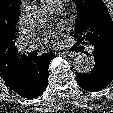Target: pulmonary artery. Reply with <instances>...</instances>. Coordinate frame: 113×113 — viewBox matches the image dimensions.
Wrapping results in <instances>:
<instances>
[{
	"label": "pulmonary artery",
	"instance_id": "e3ab8cb5",
	"mask_svg": "<svg viewBox=\"0 0 113 113\" xmlns=\"http://www.w3.org/2000/svg\"><path fill=\"white\" fill-rule=\"evenodd\" d=\"M60 10H61L60 4H56L53 7L49 8L50 13L52 14H57L60 12ZM36 48L37 44L34 41H26L20 47L22 52H30L35 50Z\"/></svg>",
	"mask_w": 113,
	"mask_h": 113
}]
</instances>
